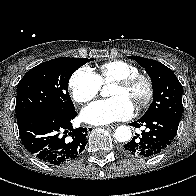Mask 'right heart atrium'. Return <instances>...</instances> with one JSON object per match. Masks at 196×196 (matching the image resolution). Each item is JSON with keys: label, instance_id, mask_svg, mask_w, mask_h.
Here are the masks:
<instances>
[{"label": "right heart atrium", "instance_id": "1", "mask_svg": "<svg viewBox=\"0 0 196 196\" xmlns=\"http://www.w3.org/2000/svg\"><path fill=\"white\" fill-rule=\"evenodd\" d=\"M101 84L97 75L88 67L77 69L69 80V89L74 101L88 103L99 93Z\"/></svg>", "mask_w": 196, "mask_h": 196}]
</instances>
